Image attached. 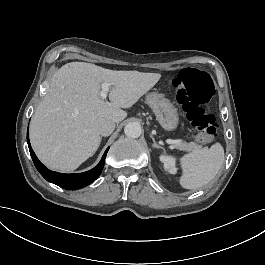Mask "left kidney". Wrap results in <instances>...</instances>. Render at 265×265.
<instances>
[{"label":"left kidney","mask_w":265,"mask_h":265,"mask_svg":"<svg viewBox=\"0 0 265 265\" xmlns=\"http://www.w3.org/2000/svg\"><path fill=\"white\" fill-rule=\"evenodd\" d=\"M161 161L164 164L165 169H169L171 173L175 172V167H174V159L167 157V156H162Z\"/></svg>","instance_id":"1"}]
</instances>
